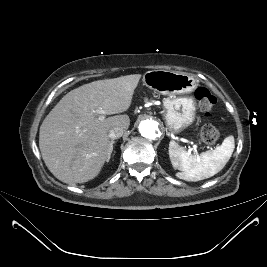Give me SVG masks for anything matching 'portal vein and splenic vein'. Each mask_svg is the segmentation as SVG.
<instances>
[{
    "label": "portal vein and splenic vein",
    "instance_id": "portal-vein-and-splenic-vein-1",
    "mask_svg": "<svg viewBox=\"0 0 267 267\" xmlns=\"http://www.w3.org/2000/svg\"><path fill=\"white\" fill-rule=\"evenodd\" d=\"M95 112H96L97 114H100V116H99V120H104V119H105L104 111H103L101 108L96 109ZM189 150L191 151L192 149L190 148Z\"/></svg>",
    "mask_w": 267,
    "mask_h": 267
}]
</instances>
